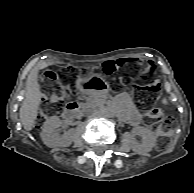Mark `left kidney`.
Here are the masks:
<instances>
[{"instance_id":"left-kidney-1","label":"left kidney","mask_w":194,"mask_h":193,"mask_svg":"<svg viewBox=\"0 0 194 193\" xmlns=\"http://www.w3.org/2000/svg\"><path fill=\"white\" fill-rule=\"evenodd\" d=\"M133 133L140 135L143 139L142 143L133 141L132 149L134 152L138 154H144L151 151L152 148L156 145V135L152 131L144 127H136L134 128Z\"/></svg>"}]
</instances>
